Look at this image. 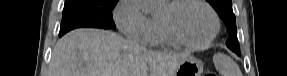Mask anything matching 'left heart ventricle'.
Segmentation results:
<instances>
[{"label":"left heart ventricle","mask_w":287,"mask_h":76,"mask_svg":"<svg viewBox=\"0 0 287 76\" xmlns=\"http://www.w3.org/2000/svg\"><path fill=\"white\" fill-rule=\"evenodd\" d=\"M174 23L180 35L190 42L205 40L213 29V20L208 10L195 3L179 8L174 14Z\"/></svg>","instance_id":"b2bd125f"}]
</instances>
